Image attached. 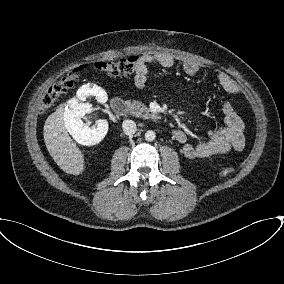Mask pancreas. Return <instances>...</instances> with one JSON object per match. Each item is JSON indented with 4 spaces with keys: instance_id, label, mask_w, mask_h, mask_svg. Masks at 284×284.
<instances>
[{
    "instance_id": "1",
    "label": "pancreas",
    "mask_w": 284,
    "mask_h": 284,
    "mask_svg": "<svg viewBox=\"0 0 284 284\" xmlns=\"http://www.w3.org/2000/svg\"><path fill=\"white\" fill-rule=\"evenodd\" d=\"M128 106L130 108V113L137 117L143 118H155V113L151 112V110L146 107L142 102L136 100H129Z\"/></svg>"
}]
</instances>
